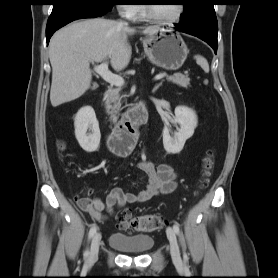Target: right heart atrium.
<instances>
[{
  "label": "right heart atrium",
  "mask_w": 278,
  "mask_h": 278,
  "mask_svg": "<svg viewBox=\"0 0 278 278\" xmlns=\"http://www.w3.org/2000/svg\"><path fill=\"white\" fill-rule=\"evenodd\" d=\"M138 7L136 4H120L118 9L124 17L131 19L136 15Z\"/></svg>",
  "instance_id": "1"
}]
</instances>
